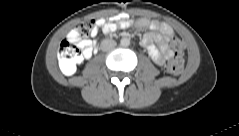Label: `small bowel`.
<instances>
[{
  "mask_svg": "<svg viewBox=\"0 0 239 136\" xmlns=\"http://www.w3.org/2000/svg\"><path fill=\"white\" fill-rule=\"evenodd\" d=\"M96 24L97 27L93 36L98 34V29H101L104 33H111L118 28L125 29L130 26L138 30H147L149 33L141 39V45L147 51L152 61L158 66H162L165 61L173 56L169 42L174 38L175 32L165 22L147 18L130 20L123 16L118 22H107L104 19H98ZM68 37L81 48L83 58L88 59L91 57L96 40L80 39L75 31H71Z\"/></svg>",
  "mask_w": 239,
  "mask_h": 136,
  "instance_id": "small-bowel-1",
  "label": "small bowel"
}]
</instances>
